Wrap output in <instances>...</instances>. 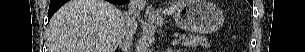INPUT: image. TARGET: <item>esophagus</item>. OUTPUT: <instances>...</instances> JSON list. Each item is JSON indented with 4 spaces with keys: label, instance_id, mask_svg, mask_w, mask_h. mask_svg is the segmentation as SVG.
<instances>
[{
    "label": "esophagus",
    "instance_id": "34e87169",
    "mask_svg": "<svg viewBox=\"0 0 305 52\" xmlns=\"http://www.w3.org/2000/svg\"><path fill=\"white\" fill-rule=\"evenodd\" d=\"M159 17V13L155 10L152 5H148L145 12V19L148 21L155 20Z\"/></svg>",
    "mask_w": 305,
    "mask_h": 52
}]
</instances>
